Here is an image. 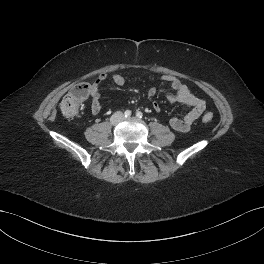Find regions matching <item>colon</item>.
Masks as SVG:
<instances>
[{"instance_id": "1", "label": "colon", "mask_w": 264, "mask_h": 264, "mask_svg": "<svg viewBox=\"0 0 264 264\" xmlns=\"http://www.w3.org/2000/svg\"><path fill=\"white\" fill-rule=\"evenodd\" d=\"M92 85L88 83H82L73 88L61 101L60 109L63 115L67 117L75 116L81 104L91 96ZM213 115L206 113L203 116L204 122H211Z\"/></svg>"}]
</instances>
